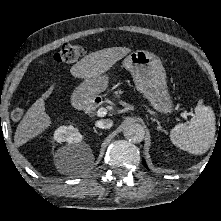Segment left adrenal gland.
Listing matches in <instances>:
<instances>
[{"label":"left adrenal gland","instance_id":"1","mask_svg":"<svg viewBox=\"0 0 221 221\" xmlns=\"http://www.w3.org/2000/svg\"><path fill=\"white\" fill-rule=\"evenodd\" d=\"M152 119V118H151ZM152 121L157 123V130L161 131V132H165V130L162 128V126L160 125V122L157 119H152Z\"/></svg>","mask_w":221,"mask_h":221}]
</instances>
